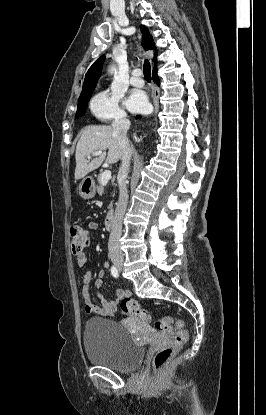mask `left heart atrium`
Masks as SVG:
<instances>
[{"instance_id": "39dd6f15", "label": "left heart atrium", "mask_w": 266, "mask_h": 415, "mask_svg": "<svg viewBox=\"0 0 266 415\" xmlns=\"http://www.w3.org/2000/svg\"><path fill=\"white\" fill-rule=\"evenodd\" d=\"M126 105L133 112L145 111L148 107L147 97L144 92L135 91L128 98Z\"/></svg>"}]
</instances>
